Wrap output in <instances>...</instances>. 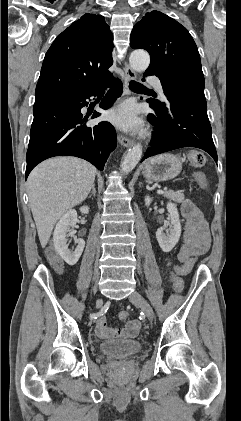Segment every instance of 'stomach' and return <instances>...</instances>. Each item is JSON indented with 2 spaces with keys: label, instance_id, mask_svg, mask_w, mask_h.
Returning a JSON list of instances; mask_svg holds the SVG:
<instances>
[{
  "label": "stomach",
  "instance_id": "obj_1",
  "mask_svg": "<svg viewBox=\"0 0 241 421\" xmlns=\"http://www.w3.org/2000/svg\"><path fill=\"white\" fill-rule=\"evenodd\" d=\"M182 170V162L173 154H161L148 159L142 166V175L149 181H167L175 178Z\"/></svg>",
  "mask_w": 241,
  "mask_h": 421
}]
</instances>
